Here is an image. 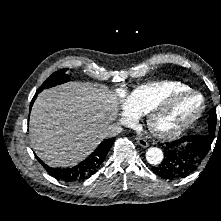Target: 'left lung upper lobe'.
I'll return each mask as SVG.
<instances>
[{
    "label": "left lung upper lobe",
    "mask_w": 221,
    "mask_h": 221,
    "mask_svg": "<svg viewBox=\"0 0 221 221\" xmlns=\"http://www.w3.org/2000/svg\"><path fill=\"white\" fill-rule=\"evenodd\" d=\"M208 125H209V132L206 135H198L196 136L197 141L200 143V145L206 150V153L203 158L206 157L208 154L211 144L214 140L215 136V131L216 129L221 130V118H220V126H218V121H217V116H216V109L213 108L209 120H208Z\"/></svg>",
    "instance_id": "left-lung-upper-lobe-1"
}]
</instances>
